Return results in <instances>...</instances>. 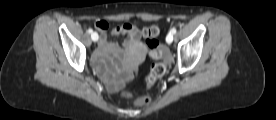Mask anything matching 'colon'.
<instances>
[{
    "label": "colon",
    "instance_id": "5ec220e1",
    "mask_svg": "<svg viewBox=\"0 0 276 120\" xmlns=\"http://www.w3.org/2000/svg\"><path fill=\"white\" fill-rule=\"evenodd\" d=\"M143 36L146 38V47L149 53V56L156 60L157 62L153 65L147 79V87H152L156 81L161 78L166 72L167 62L169 59V54L166 49H164L159 41L157 40L159 29L155 25L148 26L143 29ZM135 83V76L129 79V85ZM121 96L124 98H132V94L129 91H123ZM150 102V99L147 96H141L134 98V103L138 106L147 105Z\"/></svg>",
    "mask_w": 276,
    "mask_h": 120
}]
</instances>
